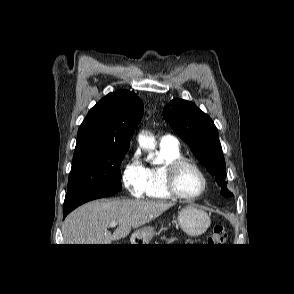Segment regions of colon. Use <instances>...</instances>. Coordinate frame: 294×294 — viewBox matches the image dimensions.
Masks as SVG:
<instances>
[{
	"label": "colon",
	"mask_w": 294,
	"mask_h": 294,
	"mask_svg": "<svg viewBox=\"0 0 294 294\" xmlns=\"http://www.w3.org/2000/svg\"><path fill=\"white\" fill-rule=\"evenodd\" d=\"M227 240V231L224 226L218 225L213 227L209 242L216 246H222Z\"/></svg>",
	"instance_id": "obj_1"
}]
</instances>
